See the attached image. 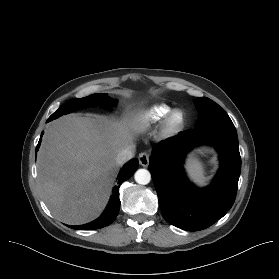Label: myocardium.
I'll return each instance as SVG.
<instances>
[{"label":"myocardium","mask_w":279,"mask_h":279,"mask_svg":"<svg viewBox=\"0 0 279 279\" xmlns=\"http://www.w3.org/2000/svg\"><path fill=\"white\" fill-rule=\"evenodd\" d=\"M185 122L184 112L180 109H173L164 118L163 132L166 135H175L184 128Z\"/></svg>","instance_id":"obj_1"}]
</instances>
